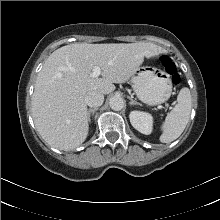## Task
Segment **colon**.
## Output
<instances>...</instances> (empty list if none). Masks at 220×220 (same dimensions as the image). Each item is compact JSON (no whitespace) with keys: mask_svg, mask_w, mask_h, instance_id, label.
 Returning a JSON list of instances; mask_svg holds the SVG:
<instances>
[{"mask_svg":"<svg viewBox=\"0 0 220 220\" xmlns=\"http://www.w3.org/2000/svg\"><path fill=\"white\" fill-rule=\"evenodd\" d=\"M161 65L164 67L166 73L170 76L173 84H178L180 82V75L178 73L176 64L167 55H161L159 57Z\"/></svg>","mask_w":220,"mask_h":220,"instance_id":"5ec220e1","label":"colon"}]
</instances>
